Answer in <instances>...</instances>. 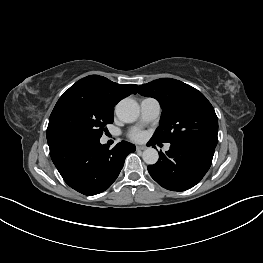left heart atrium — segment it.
Returning a JSON list of instances; mask_svg holds the SVG:
<instances>
[{
  "label": "left heart atrium",
  "mask_w": 263,
  "mask_h": 263,
  "mask_svg": "<svg viewBox=\"0 0 263 263\" xmlns=\"http://www.w3.org/2000/svg\"><path fill=\"white\" fill-rule=\"evenodd\" d=\"M130 138L134 141H141L144 138V133L140 130H133L130 133Z\"/></svg>",
  "instance_id": "left-heart-atrium-1"
}]
</instances>
